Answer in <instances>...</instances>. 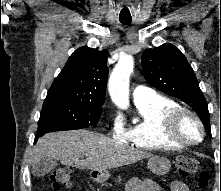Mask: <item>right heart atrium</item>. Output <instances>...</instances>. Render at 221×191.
Segmentation results:
<instances>
[{"mask_svg": "<svg viewBox=\"0 0 221 191\" xmlns=\"http://www.w3.org/2000/svg\"><path fill=\"white\" fill-rule=\"evenodd\" d=\"M111 132L114 138L124 140L126 139V128L120 116L115 115L112 118Z\"/></svg>", "mask_w": 221, "mask_h": 191, "instance_id": "1", "label": "right heart atrium"}]
</instances>
